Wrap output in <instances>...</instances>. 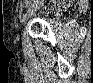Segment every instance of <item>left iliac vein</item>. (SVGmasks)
<instances>
[{
    "mask_svg": "<svg viewBox=\"0 0 93 83\" xmlns=\"http://www.w3.org/2000/svg\"><path fill=\"white\" fill-rule=\"evenodd\" d=\"M35 11H36V8L32 10L29 9L27 13L23 16V22H25L30 16H32L35 13Z\"/></svg>",
    "mask_w": 93,
    "mask_h": 83,
    "instance_id": "1",
    "label": "left iliac vein"
}]
</instances>
